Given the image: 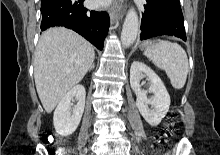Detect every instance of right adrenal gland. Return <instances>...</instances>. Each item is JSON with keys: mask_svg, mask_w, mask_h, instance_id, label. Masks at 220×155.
I'll return each instance as SVG.
<instances>
[{"mask_svg": "<svg viewBox=\"0 0 220 155\" xmlns=\"http://www.w3.org/2000/svg\"><path fill=\"white\" fill-rule=\"evenodd\" d=\"M94 67H95V64L93 63L90 67V70L94 69Z\"/></svg>", "mask_w": 220, "mask_h": 155, "instance_id": "2a0ac1e0", "label": "right adrenal gland"}]
</instances>
